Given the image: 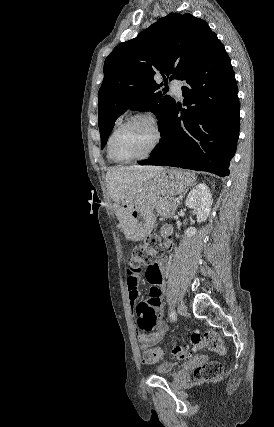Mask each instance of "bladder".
<instances>
[{"instance_id":"31cf9c89","label":"bladder","mask_w":274,"mask_h":427,"mask_svg":"<svg viewBox=\"0 0 274 427\" xmlns=\"http://www.w3.org/2000/svg\"><path fill=\"white\" fill-rule=\"evenodd\" d=\"M177 362L169 359H163L156 364L154 370L158 373V376H172Z\"/></svg>"}]
</instances>
